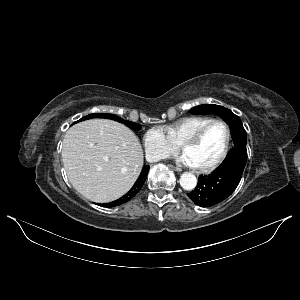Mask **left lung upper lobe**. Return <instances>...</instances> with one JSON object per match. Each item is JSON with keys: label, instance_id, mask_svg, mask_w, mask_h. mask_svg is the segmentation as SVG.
Listing matches in <instances>:
<instances>
[{"label": "left lung upper lobe", "instance_id": "5c2ea615", "mask_svg": "<svg viewBox=\"0 0 300 300\" xmlns=\"http://www.w3.org/2000/svg\"><path fill=\"white\" fill-rule=\"evenodd\" d=\"M190 111L193 114H209L216 112L229 124L233 137L234 147L246 149V131L243 128V124L240 118L231 110L219 105L203 104L192 108Z\"/></svg>", "mask_w": 300, "mask_h": 300}]
</instances>
